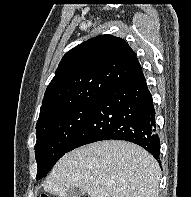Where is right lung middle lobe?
Listing matches in <instances>:
<instances>
[{
  "label": "right lung middle lobe",
  "instance_id": "1",
  "mask_svg": "<svg viewBox=\"0 0 191 197\" xmlns=\"http://www.w3.org/2000/svg\"><path fill=\"white\" fill-rule=\"evenodd\" d=\"M96 102L78 104L57 111L37 122L35 157L37 179L45 176L68 148L92 113Z\"/></svg>",
  "mask_w": 191,
  "mask_h": 197
}]
</instances>
